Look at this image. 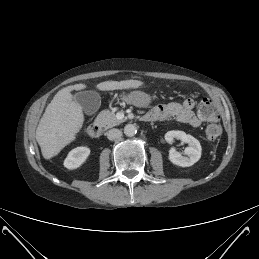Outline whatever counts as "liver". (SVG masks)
Wrapping results in <instances>:
<instances>
[{
	"mask_svg": "<svg viewBox=\"0 0 259 259\" xmlns=\"http://www.w3.org/2000/svg\"><path fill=\"white\" fill-rule=\"evenodd\" d=\"M139 80L105 81L96 87L101 91L138 88ZM85 84H75L61 89L48 104L36 130V140L45 159L56 156L75 139L84 122L82 106L73 100L71 91L82 90Z\"/></svg>",
	"mask_w": 259,
	"mask_h": 259,
	"instance_id": "liver-1",
	"label": "liver"
}]
</instances>
